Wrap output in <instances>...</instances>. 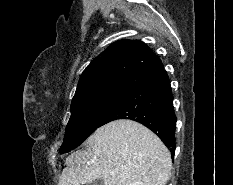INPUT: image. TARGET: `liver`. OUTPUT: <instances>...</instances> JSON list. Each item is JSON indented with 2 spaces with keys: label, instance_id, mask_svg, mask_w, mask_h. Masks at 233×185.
<instances>
[{
  "label": "liver",
  "instance_id": "liver-1",
  "mask_svg": "<svg viewBox=\"0 0 233 185\" xmlns=\"http://www.w3.org/2000/svg\"><path fill=\"white\" fill-rule=\"evenodd\" d=\"M85 150L66 158L58 185H166L171 173L169 150L148 128L121 119L99 127Z\"/></svg>",
  "mask_w": 233,
  "mask_h": 185
}]
</instances>
